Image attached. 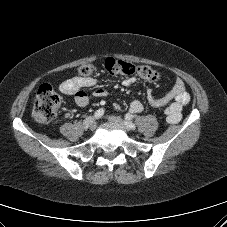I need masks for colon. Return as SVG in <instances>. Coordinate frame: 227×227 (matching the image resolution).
I'll return each mask as SVG.
<instances>
[{
    "instance_id": "obj_1",
    "label": "colon",
    "mask_w": 227,
    "mask_h": 227,
    "mask_svg": "<svg viewBox=\"0 0 227 227\" xmlns=\"http://www.w3.org/2000/svg\"><path fill=\"white\" fill-rule=\"evenodd\" d=\"M104 68L110 75L139 76L149 82L159 80V73L149 65H139L115 58H108L104 62ZM94 71L91 64H85L78 68V74L82 78L89 77ZM61 98L49 84H43L37 91L32 115L36 122L47 124L53 121L59 112Z\"/></svg>"
}]
</instances>
